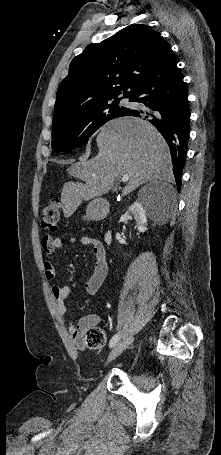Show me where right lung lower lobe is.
Listing matches in <instances>:
<instances>
[{
  "label": "right lung lower lobe",
  "instance_id": "1",
  "mask_svg": "<svg viewBox=\"0 0 221 455\" xmlns=\"http://www.w3.org/2000/svg\"><path fill=\"white\" fill-rule=\"evenodd\" d=\"M130 98L131 102L145 104L147 109H129L124 116H144L160 131L170 147L173 172L180 189L190 133V109L188 91L171 49L138 84Z\"/></svg>",
  "mask_w": 221,
  "mask_h": 455
}]
</instances>
